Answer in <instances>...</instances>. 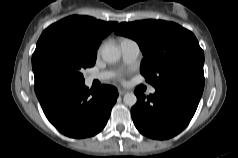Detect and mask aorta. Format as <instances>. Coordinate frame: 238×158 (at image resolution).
<instances>
[{"instance_id": "762f6f07", "label": "aorta", "mask_w": 238, "mask_h": 158, "mask_svg": "<svg viewBox=\"0 0 238 158\" xmlns=\"http://www.w3.org/2000/svg\"><path fill=\"white\" fill-rule=\"evenodd\" d=\"M102 59L107 63H115L120 59L121 52L113 44H107L103 46L101 50ZM123 101L127 106H134L137 102V97L134 93H126L123 97Z\"/></svg>"}]
</instances>
